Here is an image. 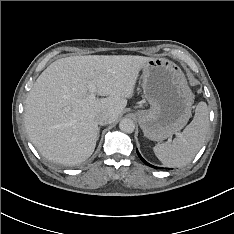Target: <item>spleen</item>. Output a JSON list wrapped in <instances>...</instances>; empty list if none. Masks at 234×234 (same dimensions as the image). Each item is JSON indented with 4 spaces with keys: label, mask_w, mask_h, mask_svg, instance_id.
<instances>
[{
    "label": "spleen",
    "mask_w": 234,
    "mask_h": 234,
    "mask_svg": "<svg viewBox=\"0 0 234 234\" xmlns=\"http://www.w3.org/2000/svg\"><path fill=\"white\" fill-rule=\"evenodd\" d=\"M209 129V111L205 102H200L191 123L174 138L172 144H157L153 151L167 167H181L192 161L202 147Z\"/></svg>",
    "instance_id": "spleen-1"
}]
</instances>
